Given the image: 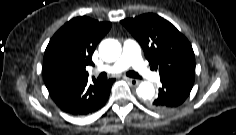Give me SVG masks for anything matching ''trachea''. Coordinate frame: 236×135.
<instances>
[{"mask_svg": "<svg viewBox=\"0 0 236 135\" xmlns=\"http://www.w3.org/2000/svg\"><path fill=\"white\" fill-rule=\"evenodd\" d=\"M127 76L131 77V78H141L140 75L134 71H128L126 73ZM99 78L101 80H106L107 79V74L105 72L101 73Z\"/></svg>", "mask_w": 236, "mask_h": 135, "instance_id": "obj_1", "label": "trachea"}]
</instances>
